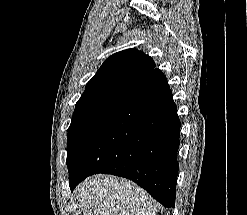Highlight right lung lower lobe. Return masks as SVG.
<instances>
[{"instance_id": "right-lung-lower-lobe-1", "label": "right lung lower lobe", "mask_w": 247, "mask_h": 215, "mask_svg": "<svg viewBox=\"0 0 247 215\" xmlns=\"http://www.w3.org/2000/svg\"><path fill=\"white\" fill-rule=\"evenodd\" d=\"M180 125L166 77L154 69L84 135L69 170L71 191L90 175L113 174L174 207Z\"/></svg>"}]
</instances>
